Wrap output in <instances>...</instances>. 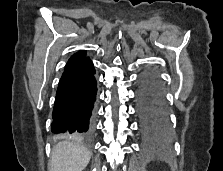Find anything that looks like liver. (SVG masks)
<instances>
[{
	"mask_svg": "<svg viewBox=\"0 0 223 171\" xmlns=\"http://www.w3.org/2000/svg\"><path fill=\"white\" fill-rule=\"evenodd\" d=\"M90 157L91 154L85 147L60 142L53 148L50 171H83Z\"/></svg>",
	"mask_w": 223,
	"mask_h": 171,
	"instance_id": "1",
	"label": "liver"
}]
</instances>
